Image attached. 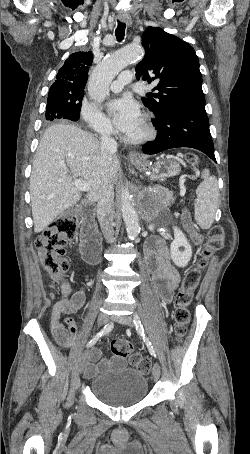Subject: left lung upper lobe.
<instances>
[{"label": "left lung upper lobe", "mask_w": 250, "mask_h": 454, "mask_svg": "<svg viewBox=\"0 0 250 454\" xmlns=\"http://www.w3.org/2000/svg\"><path fill=\"white\" fill-rule=\"evenodd\" d=\"M142 44L146 55L136 66V75L138 79L143 76L148 83H157L153 89L157 93H148L147 98H142L156 116L152 121L174 109L205 106L199 60L187 42L161 28L148 27Z\"/></svg>", "instance_id": "left-lung-upper-lobe-1"}]
</instances>
